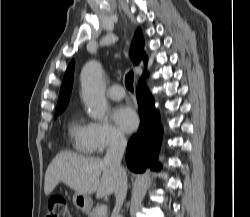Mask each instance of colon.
<instances>
[{"label":"colon","mask_w":250,"mask_h":217,"mask_svg":"<svg viewBox=\"0 0 250 217\" xmlns=\"http://www.w3.org/2000/svg\"><path fill=\"white\" fill-rule=\"evenodd\" d=\"M45 217H70L66 200L62 197L51 198Z\"/></svg>","instance_id":"colon-1"}]
</instances>
